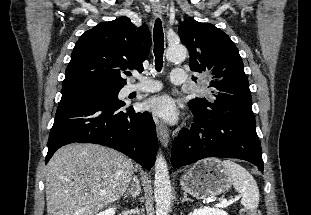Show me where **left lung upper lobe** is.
Returning <instances> with one entry per match:
<instances>
[{
  "mask_svg": "<svg viewBox=\"0 0 311 215\" xmlns=\"http://www.w3.org/2000/svg\"><path fill=\"white\" fill-rule=\"evenodd\" d=\"M181 42L190 54V69L208 75L211 94L195 98L189 107L206 114L252 112L249 82L238 49L230 37L210 23L194 19L179 26ZM197 78L193 77L195 81Z\"/></svg>",
  "mask_w": 311,
  "mask_h": 215,
  "instance_id": "1",
  "label": "left lung upper lobe"
}]
</instances>
